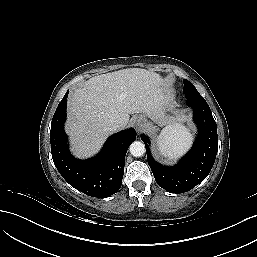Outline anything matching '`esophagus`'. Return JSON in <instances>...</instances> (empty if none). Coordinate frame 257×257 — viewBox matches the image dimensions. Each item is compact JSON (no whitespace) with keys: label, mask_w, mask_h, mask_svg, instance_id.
<instances>
[{"label":"esophagus","mask_w":257,"mask_h":257,"mask_svg":"<svg viewBox=\"0 0 257 257\" xmlns=\"http://www.w3.org/2000/svg\"><path fill=\"white\" fill-rule=\"evenodd\" d=\"M144 124V120L141 118V117H137L135 120H134V126L136 127V129H140Z\"/></svg>","instance_id":"1"}]
</instances>
